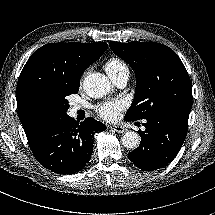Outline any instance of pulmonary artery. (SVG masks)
Here are the masks:
<instances>
[{
    "instance_id": "obj_1",
    "label": "pulmonary artery",
    "mask_w": 215,
    "mask_h": 215,
    "mask_svg": "<svg viewBox=\"0 0 215 215\" xmlns=\"http://www.w3.org/2000/svg\"><path fill=\"white\" fill-rule=\"evenodd\" d=\"M128 79H129V73L123 72L117 78L114 79V82L118 86H124L127 83ZM78 109H79L78 106H74V107H72V112H76Z\"/></svg>"
}]
</instances>
